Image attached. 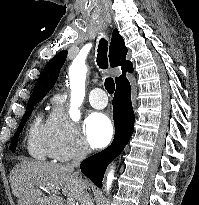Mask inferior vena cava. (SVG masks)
<instances>
[{
	"mask_svg": "<svg viewBox=\"0 0 199 205\" xmlns=\"http://www.w3.org/2000/svg\"><path fill=\"white\" fill-rule=\"evenodd\" d=\"M88 152H89V147L87 143L84 140H82L79 143L78 148L76 149L73 160L70 163H68L66 167L72 171L74 170V168H78L80 163L86 158ZM76 174L78 176H81L79 172H77ZM81 205H93L92 199L87 192H85L83 195Z\"/></svg>",
	"mask_w": 199,
	"mask_h": 205,
	"instance_id": "1",
	"label": "inferior vena cava"
}]
</instances>
